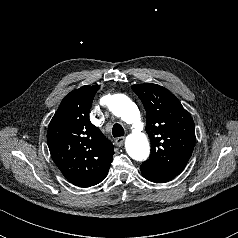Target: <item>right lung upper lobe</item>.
<instances>
[{"label": "right lung upper lobe", "instance_id": "1", "mask_svg": "<svg viewBox=\"0 0 238 238\" xmlns=\"http://www.w3.org/2000/svg\"><path fill=\"white\" fill-rule=\"evenodd\" d=\"M99 85L70 92L55 112L47 131L51 157L64 177L78 187H89L107 175L113 145L89 120Z\"/></svg>", "mask_w": 238, "mask_h": 238}]
</instances>
